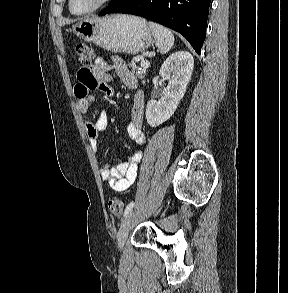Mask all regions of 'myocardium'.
<instances>
[{"instance_id": "f54148a6", "label": "myocardium", "mask_w": 288, "mask_h": 293, "mask_svg": "<svg viewBox=\"0 0 288 293\" xmlns=\"http://www.w3.org/2000/svg\"><path fill=\"white\" fill-rule=\"evenodd\" d=\"M73 1L74 0L68 1V6H69L70 12L74 15H86V14H90V13L100 9L101 7H103L104 5L109 3L111 0H97V2L93 6H91L90 8H88L86 10H83V11H75L73 9Z\"/></svg>"}]
</instances>
